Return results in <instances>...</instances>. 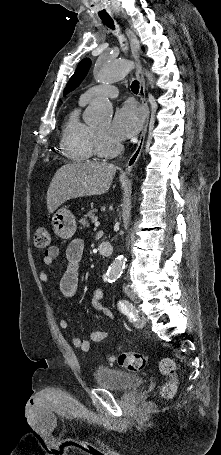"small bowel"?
Returning a JSON list of instances; mask_svg holds the SVG:
<instances>
[{
    "instance_id": "1",
    "label": "small bowel",
    "mask_w": 221,
    "mask_h": 455,
    "mask_svg": "<svg viewBox=\"0 0 221 455\" xmlns=\"http://www.w3.org/2000/svg\"><path fill=\"white\" fill-rule=\"evenodd\" d=\"M84 253V243L83 241L76 239L73 240L66 249V260L67 266L66 270L60 281V291L65 298H73L77 292L78 287V274L80 263ZM60 255V250L58 247H51L49 250L45 251L42 257V264L44 266L52 265L53 261ZM38 278L41 283L48 284L49 277L46 271L40 270L38 272ZM91 305L94 309L101 312L108 319H113V313L109 308H106L102 304V291L97 288L94 290L91 299ZM59 326L62 329L68 328V322L64 318L59 319ZM109 336L107 331H94L91 334L90 340H85L80 337H74L72 343L75 347L81 349L82 351H89L91 348V342H100L105 340Z\"/></svg>"
}]
</instances>
